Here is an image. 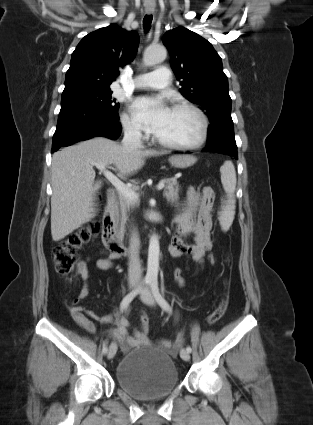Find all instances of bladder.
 Returning <instances> with one entry per match:
<instances>
[{
    "label": "bladder",
    "instance_id": "bladder-1",
    "mask_svg": "<svg viewBox=\"0 0 313 425\" xmlns=\"http://www.w3.org/2000/svg\"><path fill=\"white\" fill-rule=\"evenodd\" d=\"M115 377L125 392L145 401L167 396L179 382L168 350L155 346H142L126 353L116 367Z\"/></svg>",
    "mask_w": 313,
    "mask_h": 425
}]
</instances>
